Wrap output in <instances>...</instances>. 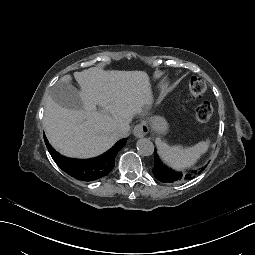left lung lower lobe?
I'll return each instance as SVG.
<instances>
[{
  "label": "left lung lower lobe",
  "instance_id": "left-lung-lower-lobe-1",
  "mask_svg": "<svg viewBox=\"0 0 255 255\" xmlns=\"http://www.w3.org/2000/svg\"><path fill=\"white\" fill-rule=\"evenodd\" d=\"M210 157H207L206 162H209ZM206 162L201 164V167L206 165ZM151 173L154 175L159 181L167 184L177 183L179 180H184L186 178H191L196 172V169H185L183 171H172L169 168H166L165 164L161 163L158 157H154L152 159L151 164ZM197 170H200V167H197Z\"/></svg>",
  "mask_w": 255,
  "mask_h": 255
}]
</instances>
